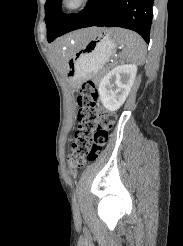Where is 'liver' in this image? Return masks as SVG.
Here are the masks:
<instances>
[{
	"label": "liver",
	"instance_id": "6515ba94",
	"mask_svg": "<svg viewBox=\"0 0 183 246\" xmlns=\"http://www.w3.org/2000/svg\"><path fill=\"white\" fill-rule=\"evenodd\" d=\"M99 30H100L99 28H89V29L80 30L68 35L65 38L60 39L54 44L56 55L62 62L63 72H65V65L67 61V56L64 52V46L71 40H76L79 43H85L86 41L92 39L93 36H95Z\"/></svg>",
	"mask_w": 183,
	"mask_h": 246
}]
</instances>
